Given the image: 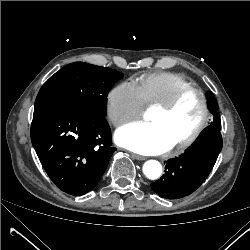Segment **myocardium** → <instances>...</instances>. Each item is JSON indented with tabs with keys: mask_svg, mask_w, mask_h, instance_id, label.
<instances>
[{
	"mask_svg": "<svg viewBox=\"0 0 250 250\" xmlns=\"http://www.w3.org/2000/svg\"><path fill=\"white\" fill-rule=\"evenodd\" d=\"M196 94L201 101L202 104V117L200 123L196 127V129L186 138L183 140L175 143L170 149H177L182 150L189 146H191L203 133L205 128L208 125L209 118H210V109H209V102L206 94L199 88L195 86H189L177 91L169 100L162 104H158L155 106V109H158L160 112L164 114H168L172 112L178 104L188 95Z\"/></svg>",
	"mask_w": 250,
	"mask_h": 250,
	"instance_id": "myocardium-1",
	"label": "myocardium"
}]
</instances>
